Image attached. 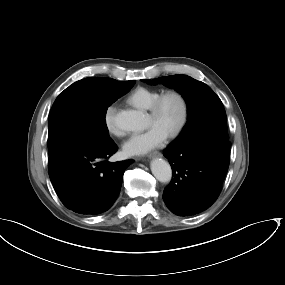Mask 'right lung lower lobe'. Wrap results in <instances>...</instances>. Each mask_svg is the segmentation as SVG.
<instances>
[{
  "mask_svg": "<svg viewBox=\"0 0 285 285\" xmlns=\"http://www.w3.org/2000/svg\"><path fill=\"white\" fill-rule=\"evenodd\" d=\"M112 139L74 142L49 156L52 185L66 208L83 215H97L116 201L126 167L133 160L111 163L117 152Z\"/></svg>",
  "mask_w": 285,
  "mask_h": 285,
  "instance_id": "1",
  "label": "right lung lower lobe"
}]
</instances>
